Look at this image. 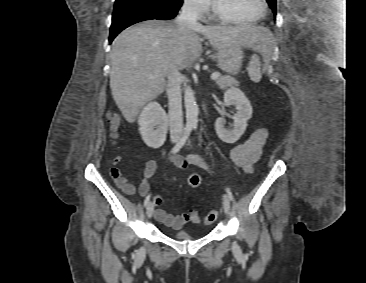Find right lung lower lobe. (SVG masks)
I'll return each mask as SVG.
<instances>
[{
	"mask_svg": "<svg viewBox=\"0 0 366 283\" xmlns=\"http://www.w3.org/2000/svg\"><path fill=\"white\" fill-rule=\"evenodd\" d=\"M178 10L168 8L158 0H116L109 41L111 43L118 33L130 25L151 19H172Z\"/></svg>",
	"mask_w": 366,
	"mask_h": 283,
	"instance_id": "obj_1",
	"label": "right lung lower lobe"
}]
</instances>
